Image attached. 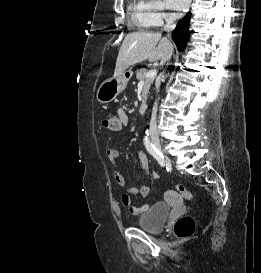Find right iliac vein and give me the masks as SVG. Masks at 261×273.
<instances>
[{
  "label": "right iliac vein",
  "mask_w": 261,
  "mask_h": 273,
  "mask_svg": "<svg viewBox=\"0 0 261 273\" xmlns=\"http://www.w3.org/2000/svg\"><path fill=\"white\" fill-rule=\"evenodd\" d=\"M152 142L154 146L157 148V150L164 155V149L161 145L160 139L157 136L152 137Z\"/></svg>",
  "instance_id": "63e3f726"
}]
</instances>
